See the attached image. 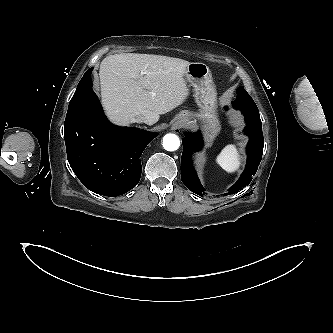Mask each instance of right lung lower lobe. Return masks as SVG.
<instances>
[{
  "instance_id": "obj_1",
  "label": "right lung lower lobe",
  "mask_w": 333,
  "mask_h": 333,
  "mask_svg": "<svg viewBox=\"0 0 333 333\" xmlns=\"http://www.w3.org/2000/svg\"><path fill=\"white\" fill-rule=\"evenodd\" d=\"M64 136L68 162L91 191L118 196L135 187L141 177L140 156L158 134L112 125L103 113L89 77L69 104Z\"/></svg>"
}]
</instances>
